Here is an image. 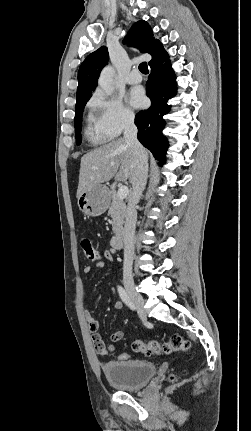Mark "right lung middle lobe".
<instances>
[{
    "mask_svg": "<svg viewBox=\"0 0 251 431\" xmlns=\"http://www.w3.org/2000/svg\"><path fill=\"white\" fill-rule=\"evenodd\" d=\"M90 97H91V95L85 96V97L77 99V101H76L75 134H76L77 145L81 144L82 113H83L84 107L86 105V102L89 100Z\"/></svg>",
    "mask_w": 251,
    "mask_h": 431,
    "instance_id": "right-lung-middle-lobe-1",
    "label": "right lung middle lobe"
}]
</instances>
